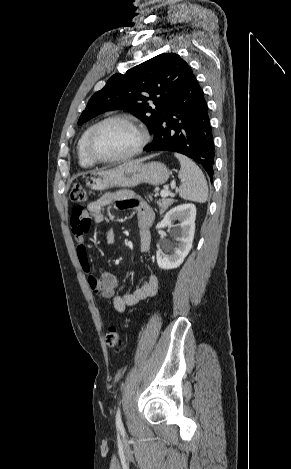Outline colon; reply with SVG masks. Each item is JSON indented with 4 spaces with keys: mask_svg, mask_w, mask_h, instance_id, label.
Returning a JSON list of instances; mask_svg holds the SVG:
<instances>
[{
    "mask_svg": "<svg viewBox=\"0 0 291 469\" xmlns=\"http://www.w3.org/2000/svg\"><path fill=\"white\" fill-rule=\"evenodd\" d=\"M71 199L77 203H84L87 200L86 189L81 185L74 186L71 191ZM105 340L110 349L120 350L123 347V340L120 337L118 330L113 326L107 329Z\"/></svg>",
    "mask_w": 291,
    "mask_h": 469,
    "instance_id": "obj_1",
    "label": "colon"
}]
</instances>
